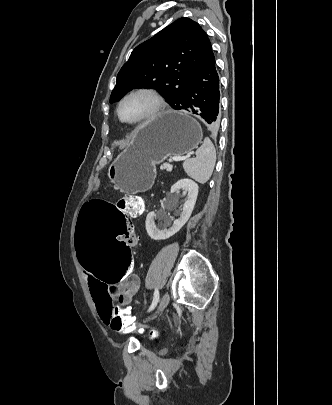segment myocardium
Listing matches in <instances>:
<instances>
[{"instance_id": "1", "label": "myocardium", "mask_w": 332, "mask_h": 405, "mask_svg": "<svg viewBox=\"0 0 332 405\" xmlns=\"http://www.w3.org/2000/svg\"><path fill=\"white\" fill-rule=\"evenodd\" d=\"M137 94H146L149 95L153 101H154V106L152 108V110L145 116L137 119V120H133V121H129V120H125L123 119L122 115H121V107L122 104L131 96L137 95ZM165 108V101L162 97V95L155 90L154 88L151 87H139V88H135L131 91H129L128 93H126L118 102L117 105V116L119 118V120L124 123V124H128V125H140L149 121L154 120L155 118H157L161 112L164 110Z\"/></svg>"}]
</instances>
